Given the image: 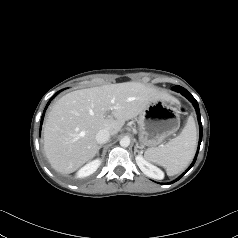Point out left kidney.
Wrapping results in <instances>:
<instances>
[{
    "label": "left kidney",
    "instance_id": "5707ae66",
    "mask_svg": "<svg viewBox=\"0 0 238 238\" xmlns=\"http://www.w3.org/2000/svg\"><path fill=\"white\" fill-rule=\"evenodd\" d=\"M135 159L137 165L145 175L155 179H163V172L159 168L147 162L141 155L136 156Z\"/></svg>",
    "mask_w": 238,
    "mask_h": 238
}]
</instances>
